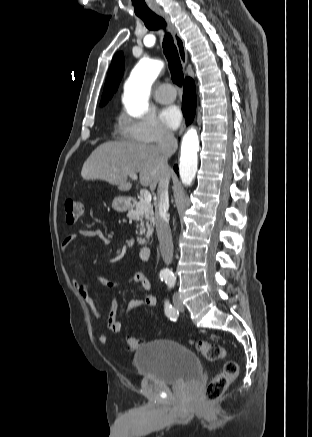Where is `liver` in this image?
<instances>
[{"label":"liver","instance_id":"liver-1","mask_svg":"<svg viewBox=\"0 0 312 437\" xmlns=\"http://www.w3.org/2000/svg\"><path fill=\"white\" fill-rule=\"evenodd\" d=\"M162 172L156 145L106 142L85 161L81 176L84 180H103L118 186L121 191H128L132 187V183L127 181L129 174L139 173L140 184L154 191Z\"/></svg>","mask_w":312,"mask_h":437}]
</instances>
